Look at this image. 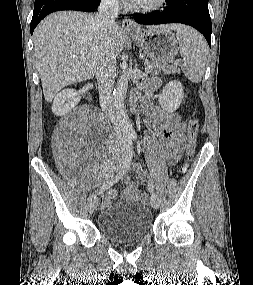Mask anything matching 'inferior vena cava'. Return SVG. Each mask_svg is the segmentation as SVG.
<instances>
[{"mask_svg":"<svg viewBox=\"0 0 253 285\" xmlns=\"http://www.w3.org/2000/svg\"><path fill=\"white\" fill-rule=\"evenodd\" d=\"M119 0H101L98 13L94 17V24L99 29L102 45L96 64V76L98 81L99 100L102 111L115 124L114 107V81L116 72V56L111 48L110 32L116 24L118 17Z\"/></svg>","mask_w":253,"mask_h":285,"instance_id":"602c4592","label":"inferior vena cava"}]
</instances>
